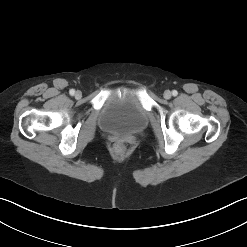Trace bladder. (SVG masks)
<instances>
[{
	"mask_svg": "<svg viewBox=\"0 0 247 247\" xmlns=\"http://www.w3.org/2000/svg\"><path fill=\"white\" fill-rule=\"evenodd\" d=\"M147 122L144 109L129 93L110 96L99 115L101 129L111 134L136 135L146 128Z\"/></svg>",
	"mask_w": 247,
	"mask_h": 247,
	"instance_id": "bladder-1",
	"label": "bladder"
}]
</instances>
